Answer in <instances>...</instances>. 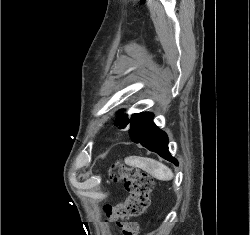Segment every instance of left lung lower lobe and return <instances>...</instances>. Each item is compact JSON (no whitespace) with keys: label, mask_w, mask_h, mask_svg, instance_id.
I'll use <instances>...</instances> for the list:
<instances>
[{"label":"left lung lower lobe","mask_w":250,"mask_h":235,"mask_svg":"<svg viewBox=\"0 0 250 235\" xmlns=\"http://www.w3.org/2000/svg\"><path fill=\"white\" fill-rule=\"evenodd\" d=\"M130 133L135 143H142V146L150 151L156 152L166 160L178 165L177 160L171 156L168 150V137L153 122V114L142 112L134 114L129 119Z\"/></svg>","instance_id":"0a47b994"}]
</instances>
